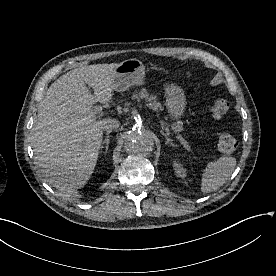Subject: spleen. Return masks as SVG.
Returning a JSON list of instances; mask_svg holds the SVG:
<instances>
[{
    "instance_id": "3e777b00",
    "label": "spleen",
    "mask_w": 276,
    "mask_h": 276,
    "mask_svg": "<svg viewBox=\"0 0 276 276\" xmlns=\"http://www.w3.org/2000/svg\"><path fill=\"white\" fill-rule=\"evenodd\" d=\"M235 166L236 159L230 156L208 163L203 173L201 191L210 193L219 189L229 179Z\"/></svg>"
}]
</instances>
